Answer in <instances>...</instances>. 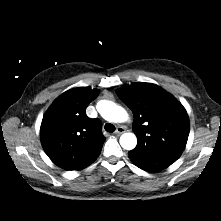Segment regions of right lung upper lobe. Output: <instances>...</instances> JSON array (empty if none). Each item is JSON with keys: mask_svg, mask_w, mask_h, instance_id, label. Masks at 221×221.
Instances as JSON below:
<instances>
[{"mask_svg": "<svg viewBox=\"0 0 221 221\" xmlns=\"http://www.w3.org/2000/svg\"><path fill=\"white\" fill-rule=\"evenodd\" d=\"M99 90L70 89L61 94L46 111L40 139L45 153L65 170H82L99 156L105 137L99 119L89 118L86 107Z\"/></svg>", "mask_w": 221, "mask_h": 221, "instance_id": "right-lung-upper-lobe-1", "label": "right lung upper lobe"}]
</instances>
